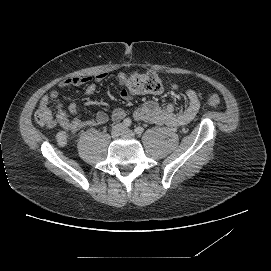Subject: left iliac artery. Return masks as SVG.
Listing matches in <instances>:
<instances>
[{"instance_id":"1","label":"left iliac artery","mask_w":271,"mask_h":271,"mask_svg":"<svg viewBox=\"0 0 271 271\" xmlns=\"http://www.w3.org/2000/svg\"><path fill=\"white\" fill-rule=\"evenodd\" d=\"M134 131L136 132V134L140 135V134H142L144 132V128L141 127V126H138V127L135 128Z\"/></svg>"}]
</instances>
